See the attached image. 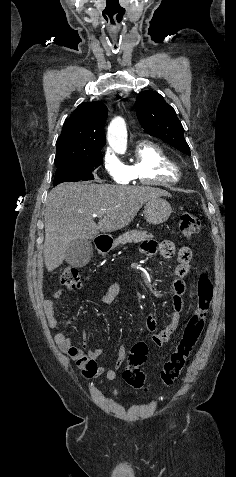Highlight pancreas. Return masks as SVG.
I'll return each mask as SVG.
<instances>
[{
  "mask_svg": "<svg viewBox=\"0 0 236 477\" xmlns=\"http://www.w3.org/2000/svg\"><path fill=\"white\" fill-rule=\"evenodd\" d=\"M150 238H153V236L151 234H147L146 231L132 230L118 237L114 241L113 247H116L120 244L125 245L126 243H139Z\"/></svg>",
  "mask_w": 236,
  "mask_h": 477,
  "instance_id": "1",
  "label": "pancreas"
}]
</instances>
